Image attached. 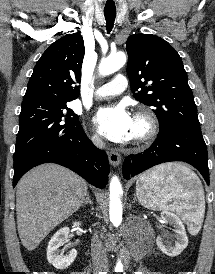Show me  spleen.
<instances>
[{
    "label": "spleen",
    "instance_id": "3e777b00",
    "mask_svg": "<svg viewBox=\"0 0 215 274\" xmlns=\"http://www.w3.org/2000/svg\"><path fill=\"white\" fill-rule=\"evenodd\" d=\"M136 194L142 205L176 212L189 222L201 219L205 195L197 175L188 167L159 165L139 176Z\"/></svg>",
    "mask_w": 215,
    "mask_h": 274
}]
</instances>
